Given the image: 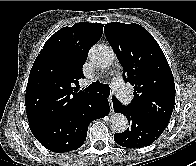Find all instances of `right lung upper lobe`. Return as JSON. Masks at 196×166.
Returning <instances> with one entry per match:
<instances>
[{"mask_svg":"<svg viewBox=\"0 0 196 166\" xmlns=\"http://www.w3.org/2000/svg\"><path fill=\"white\" fill-rule=\"evenodd\" d=\"M103 24L79 22L53 34L37 56L29 75L25 105L29 124L62 116L93 94L73 84L83 78L89 49L101 38Z\"/></svg>","mask_w":196,"mask_h":166,"instance_id":"right-lung-upper-lobe-1","label":"right lung upper lobe"}]
</instances>
